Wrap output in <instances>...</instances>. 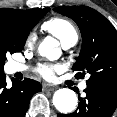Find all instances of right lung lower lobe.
I'll return each instance as SVG.
<instances>
[{
  "mask_svg": "<svg viewBox=\"0 0 117 117\" xmlns=\"http://www.w3.org/2000/svg\"><path fill=\"white\" fill-rule=\"evenodd\" d=\"M42 89L39 82L26 78L6 87V76L0 74V117H24L31 97Z\"/></svg>",
  "mask_w": 117,
  "mask_h": 117,
  "instance_id": "1",
  "label": "right lung lower lobe"
}]
</instances>
